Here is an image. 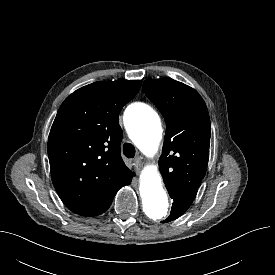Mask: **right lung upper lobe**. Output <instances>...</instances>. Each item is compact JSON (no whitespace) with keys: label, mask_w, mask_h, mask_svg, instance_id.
<instances>
[{"label":"right lung upper lobe","mask_w":275,"mask_h":275,"mask_svg":"<svg viewBox=\"0 0 275 275\" xmlns=\"http://www.w3.org/2000/svg\"><path fill=\"white\" fill-rule=\"evenodd\" d=\"M141 81H98L60 106L48 138L53 184L62 202L81 216H96L111 205L132 173L120 155L119 113Z\"/></svg>","instance_id":"cb5924a9"}]
</instances>
